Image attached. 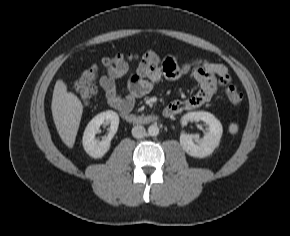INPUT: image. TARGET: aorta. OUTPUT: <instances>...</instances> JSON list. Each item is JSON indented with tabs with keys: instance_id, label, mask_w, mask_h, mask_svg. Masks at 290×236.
Wrapping results in <instances>:
<instances>
[{
	"instance_id": "1",
	"label": "aorta",
	"mask_w": 290,
	"mask_h": 236,
	"mask_svg": "<svg viewBox=\"0 0 290 236\" xmlns=\"http://www.w3.org/2000/svg\"><path fill=\"white\" fill-rule=\"evenodd\" d=\"M148 134L150 136H157L159 134V127L156 124L150 125L148 127Z\"/></svg>"
}]
</instances>
